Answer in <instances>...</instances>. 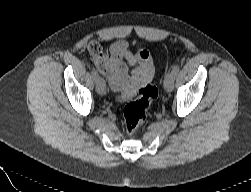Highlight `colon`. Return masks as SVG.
Listing matches in <instances>:
<instances>
[{"label": "colon", "instance_id": "obj_1", "mask_svg": "<svg viewBox=\"0 0 251 192\" xmlns=\"http://www.w3.org/2000/svg\"><path fill=\"white\" fill-rule=\"evenodd\" d=\"M157 96V88L147 83L140 87L138 97L125 106L123 111L124 124L129 134L135 133L143 125L148 108Z\"/></svg>", "mask_w": 251, "mask_h": 192}]
</instances>
